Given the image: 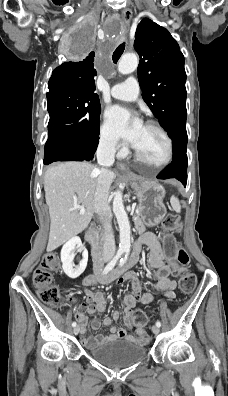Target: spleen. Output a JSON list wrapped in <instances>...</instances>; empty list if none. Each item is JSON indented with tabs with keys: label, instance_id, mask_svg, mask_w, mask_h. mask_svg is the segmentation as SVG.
<instances>
[{
	"label": "spleen",
	"instance_id": "spleen-1",
	"mask_svg": "<svg viewBox=\"0 0 228 396\" xmlns=\"http://www.w3.org/2000/svg\"><path fill=\"white\" fill-rule=\"evenodd\" d=\"M171 204L175 211H177V212L181 211V205H180L179 199L176 198L175 196H173L171 198Z\"/></svg>",
	"mask_w": 228,
	"mask_h": 396
}]
</instances>
